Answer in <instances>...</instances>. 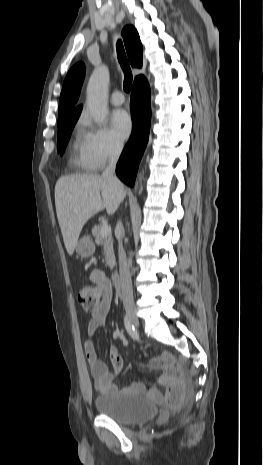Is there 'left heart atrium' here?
I'll return each mask as SVG.
<instances>
[{
	"instance_id": "left-heart-atrium-1",
	"label": "left heart atrium",
	"mask_w": 263,
	"mask_h": 465,
	"mask_svg": "<svg viewBox=\"0 0 263 465\" xmlns=\"http://www.w3.org/2000/svg\"><path fill=\"white\" fill-rule=\"evenodd\" d=\"M111 124L118 138L122 140L128 138L132 130V120L125 110L118 109L114 111L111 117Z\"/></svg>"
}]
</instances>
